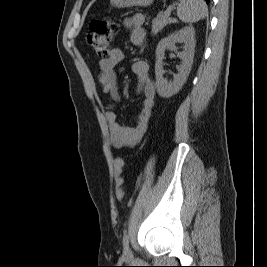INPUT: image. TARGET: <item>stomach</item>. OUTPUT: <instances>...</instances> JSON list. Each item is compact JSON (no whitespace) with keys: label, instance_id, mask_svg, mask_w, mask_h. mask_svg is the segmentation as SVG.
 Returning <instances> with one entry per match:
<instances>
[{"label":"stomach","instance_id":"1","mask_svg":"<svg viewBox=\"0 0 267 267\" xmlns=\"http://www.w3.org/2000/svg\"><path fill=\"white\" fill-rule=\"evenodd\" d=\"M154 0H110V3L114 7L125 8L131 6H149Z\"/></svg>","mask_w":267,"mask_h":267}]
</instances>
